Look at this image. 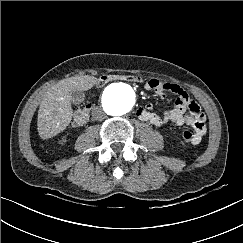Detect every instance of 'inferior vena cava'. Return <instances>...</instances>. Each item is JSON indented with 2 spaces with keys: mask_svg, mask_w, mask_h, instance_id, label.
<instances>
[{
  "mask_svg": "<svg viewBox=\"0 0 243 243\" xmlns=\"http://www.w3.org/2000/svg\"><path fill=\"white\" fill-rule=\"evenodd\" d=\"M92 117L94 120L102 121L106 118V114L101 108H95L92 111Z\"/></svg>",
  "mask_w": 243,
  "mask_h": 243,
  "instance_id": "obj_1",
  "label": "inferior vena cava"
}]
</instances>
